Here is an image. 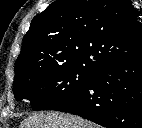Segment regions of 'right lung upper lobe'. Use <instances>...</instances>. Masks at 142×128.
I'll return each instance as SVG.
<instances>
[{"mask_svg":"<svg viewBox=\"0 0 142 128\" xmlns=\"http://www.w3.org/2000/svg\"><path fill=\"white\" fill-rule=\"evenodd\" d=\"M141 52L139 21L128 0H56L33 18L15 78L70 65L96 72Z\"/></svg>","mask_w":142,"mask_h":128,"instance_id":"1","label":"right lung upper lobe"}]
</instances>
